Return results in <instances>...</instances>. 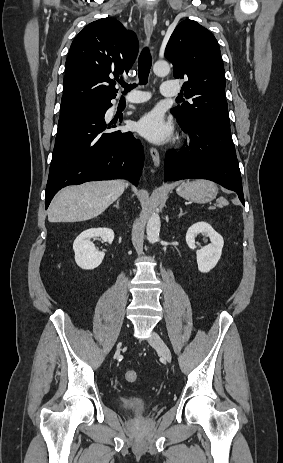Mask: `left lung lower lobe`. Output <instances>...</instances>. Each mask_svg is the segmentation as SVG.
I'll list each match as a JSON object with an SVG mask.
<instances>
[{
    "label": "left lung lower lobe",
    "instance_id": "1",
    "mask_svg": "<svg viewBox=\"0 0 283 463\" xmlns=\"http://www.w3.org/2000/svg\"><path fill=\"white\" fill-rule=\"evenodd\" d=\"M190 135L186 148L168 153L165 180L208 179L235 191L244 204L240 169L231 132L208 125H181Z\"/></svg>",
    "mask_w": 283,
    "mask_h": 463
}]
</instances>
